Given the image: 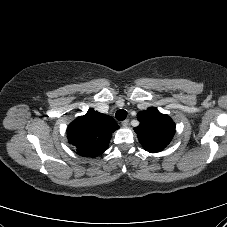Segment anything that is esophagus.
Masks as SVG:
<instances>
[{
    "label": "esophagus",
    "mask_w": 227,
    "mask_h": 227,
    "mask_svg": "<svg viewBox=\"0 0 227 227\" xmlns=\"http://www.w3.org/2000/svg\"><path fill=\"white\" fill-rule=\"evenodd\" d=\"M121 124H122V126L127 127L129 124V120L126 119V120L122 121Z\"/></svg>",
    "instance_id": "34e87169"
}]
</instances>
